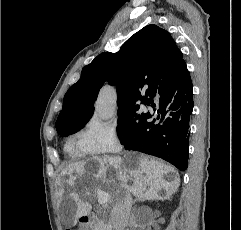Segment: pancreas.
I'll return each instance as SVG.
<instances>
[{
    "mask_svg": "<svg viewBox=\"0 0 241 230\" xmlns=\"http://www.w3.org/2000/svg\"><path fill=\"white\" fill-rule=\"evenodd\" d=\"M92 230H109V225L102 219H97Z\"/></svg>",
    "mask_w": 241,
    "mask_h": 230,
    "instance_id": "1",
    "label": "pancreas"
}]
</instances>
